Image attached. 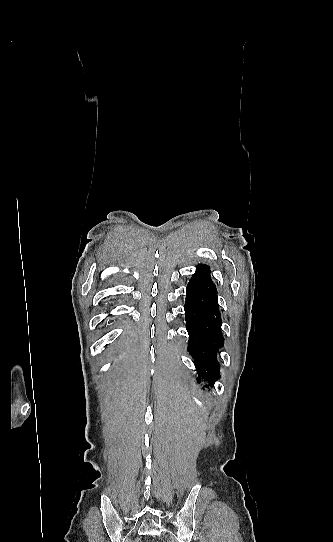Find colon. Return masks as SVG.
I'll return each mask as SVG.
<instances>
[{
  "label": "colon",
  "mask_w": 333,
  "mask_h": 542,
  "mask_svg": "<svg viewBox=\"0 0 333 542\" xmlns=\"http://www.w3.org/2000/svg\"><path fill=\"white\" fill-rule=\"evenodd\" d=\"M143 542H162L160 536H145Z\"/></svg>",
  "instance_id": "5ec220e1"
}]
</instances>
